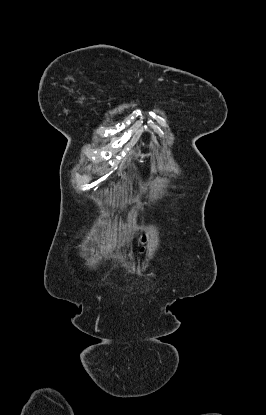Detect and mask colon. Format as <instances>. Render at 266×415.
<instances>
[{"mask_svg": "<svg viewBox=\"0 0 266 415\" xmlns=\"http://www.w3.org/2000/svg\"><path fill=\"white\" fill-rule=\"evenodd\" d=\"M145 240H146V239H145V237H143V238H142V241H143V242H145Z\"/></svg>", "mask_w": 266, "mask_h": 415, "instance_id": "1", "label": "colon"}]
</instances>
